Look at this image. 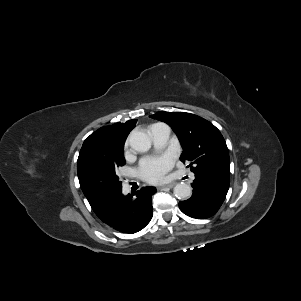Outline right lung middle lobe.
Returning <instances> with one entry per match:
<instances>
[{
    "label": "right lung middle lobe",
    "instance_id": "obj_1",
    "mask_svg": "<svg viewBox=\"0 0 301 301\" xmlns=\"http://www.w3.org/2000/svg\"><path fill=\"white\" fill-rule=\"evenodd\" d=\"M123 165V147L92 143L81 149L77 161L79 183L96 214L101 213L122 192V182L116 171Z\"/></svg>",
    "mask_w": 301,
    "mask_h": 301
}]
</instances>
